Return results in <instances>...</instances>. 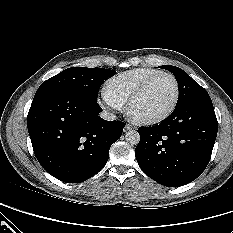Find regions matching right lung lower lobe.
I'll return each mask as SVG.
<instances>
[{
  "label": "right lung lower lobe",
  "instance_id": "right-lung-lower-lobe-1",
  "mask_svg": "<svg viewBox=\"0 0 233 233\" xmlns=\"http://www.w3.org/2000/svg\"><path fill=\"white\" fill-rule=\"evenodd\" d=\"M97 100L56 90L32 102L27 126L34 154L55 178L78 183L98 173L125 126L99 117Z\"/></svg>",
  "mask_w": 233,
  "mask_h": 233
}]
</instances>
